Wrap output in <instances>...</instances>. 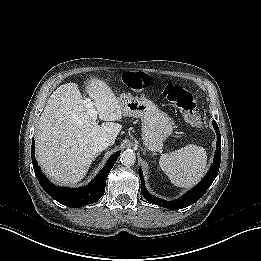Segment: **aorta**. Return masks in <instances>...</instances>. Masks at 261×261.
Returning a JSON list of instances; mask_svg holds the SVG:
<instances>
[{
    "label": "aorta",
    "mask_w": 261,
    "mask_h": 261,
    "mask_svg": "<svg viewBox=\"0 0 261 261\" xmlns=\"http://www.w3.org/2000/svg\"><path fill=\"white\" fill-rule=\"evenodd\" d=\"M120 162L124 166H132L136 162V154L133 150L127 149L120 155Z\"/></svg>",
    "instance_id": "1"
}]
</instances>
